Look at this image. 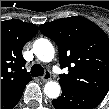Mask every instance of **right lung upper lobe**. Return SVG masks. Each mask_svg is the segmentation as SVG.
Returning <instances> with one entry per match:
<instances>
[{
	"instance_id": "cb5924a9",
	"label": "right lung upper lobe",
	"mask_w": 109,
	"mask_h": 109,
	"mask_svg": "<svg viewBox=\"0 0 109 109\" xmlns=\"http://www.w3.org/2000/svg\"><path fill=\"white\" fill-rule=\"evenodd\" d=\"M38 32L34 24L19 20L1 21V98L32 80L22 57L24 45Z\"/></svg>"
}]
</instances>
